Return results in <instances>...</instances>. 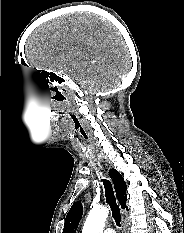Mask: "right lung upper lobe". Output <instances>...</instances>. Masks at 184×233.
Here are the masks:
<instances>
[{"instance_id":"cb5924a9","label":"right lung upper lobe","mask_w":184,"mask_h":233,"mask_svg":"<svg viewBox=\"0 0 184 233\" xmlns=\"http://www.w3.org/2000/svg\"><path fill=\"white\" fill-rule=\"evenodd\" d=\"M109 176L114 183L115 192L121 207L126 208L127 186L122 175L115 169H111L109 171ZM82 212L83 207L81 202H75L66 216L63 233H76L80 218L82 217Z\"/></svg>"}]
</instances>
